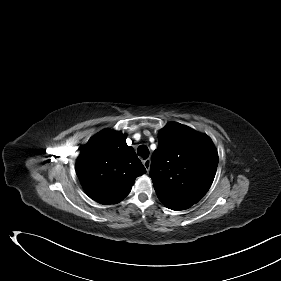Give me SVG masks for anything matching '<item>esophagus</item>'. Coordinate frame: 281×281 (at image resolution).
Listing matches in <instances>:
<instances>
[{"label": "esophagus", "mask_w": 281, "mask_h": 281, "mask_svg": "<svg viewBox=\"0 0 281 281\" xmlns=\"http://www.w3.org/2000/svg\"><path fill=\"white\" fill-rule=\"evenodd\" d=\"M143 165H144L145 169H146L147 171H149L150 165H151V160H150V159H145V160H143Z\"/></svg>", "instance_id": "esophagus-1"}]
</instances>
